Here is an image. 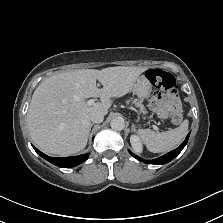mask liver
<instances>
[{
	"label": "liver",
	"mask_w": 223,
	"mask_h": 223,
	"mask_svg": "<svg viewBox=\"0 0 223 223\" xmlns=\"http://www.w3.org/2000/svg\"><path fill=\"white\" fill-rule=\"evenodd\" d=\"M148 68L109 67L53 75L35 90L27 113L30 136L45 154L71 155L85 149L93 111L107 113L108 98L130 92ZM96 79L103 85L96 86ZM100 97L91 107L85 98Z\"/></svg>",
	"instance_id": "liver-1"
}]
</instances>
